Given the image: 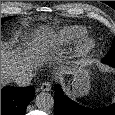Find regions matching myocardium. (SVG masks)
I'll list each match as a JSON object with an SVG mask.
<instances>
[{
  "label": "myocardium",
  "instance_id": "myocardium-1",
  "mask_svg": "<svg viewBox=\"0 0 115 115\" xmlns=\"http://www.w3.org/2000/svg\"><path fill=\"white\" fill-rule=\"evenodd\" d=\"M95 41L92 38L84 39L79 45V52L81 54H88L95 48Z\"/></svg>",
  "mask_w": 115,
  "mask_h": 115
}]
</instances>
